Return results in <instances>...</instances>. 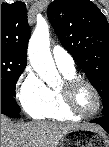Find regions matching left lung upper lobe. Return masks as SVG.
Here are the masks:
<instances>
[{
	"label": "left lung upper lobe",
	"instance_id": "left-lung-upper-lobe-1",
	"mask_svg": "<svg viewBox=\"0 0 109 147\" xmlns=\"http://www.w3.org/2000/svg\"><path fill=\"white\" fill-rule=\"evenodd\" d=\"M47 15L62 46L74 57L109 114V24L90 0H54Z\"/></svg>",
	"mask_w": 109,
	"mask_h": 147
}]
</instances>
